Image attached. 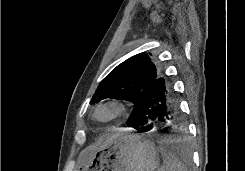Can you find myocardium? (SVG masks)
Instances as JSON below:
<instances>
[{
  "mask_svg": "<svg viewBox=\"0 0 245 171\" xmlns=\"http://www.w3.org/2000/svg\"><path fill=\"white\" fill-rule=\"evenodd\" d=\"M103 109H111L112 114L107 118H100L99 112ZM126 112V106L118 100H108L100 103L95 110V118L101 122H112L122 117Z\"/></svg>",
  "mask_w": 245,
  "mask_h": 171,
  "instance_id": "1",
  "label": "myocardium"
}]
</instances>
